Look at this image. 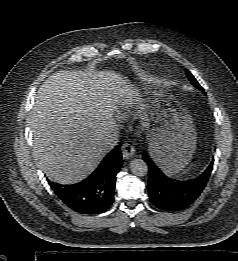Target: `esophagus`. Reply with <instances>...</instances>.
I'll return each instance as SVG.
<instances>
[{
    "label": "esophagus",
    "instance_id": "obj_1",
    "mask_svg": "<svg viewBox=\"0 0 238 261\" xmlns=\"http://www.w3.org/2000/svg\"><path fill=\"white\" fill-rule=\"evenodd\" d=\"M121 151H122L123 158L126 160L132 158L135 153L134 147L127 143L122 145Z\"/></svg>",
    "mask_w": 238,
    "mask_h": 261
}]
</instances>
